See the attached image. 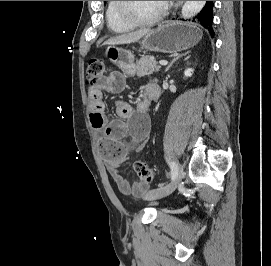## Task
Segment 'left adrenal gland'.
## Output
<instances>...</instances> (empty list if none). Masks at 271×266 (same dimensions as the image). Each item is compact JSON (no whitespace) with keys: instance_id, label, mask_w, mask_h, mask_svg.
<instances>
[{"instance_id":"1","label":"left adrenal gland","mask_w":271,"mask_h":266,"mask_svg":"<svg viewBox=\"0 0 271 266\" xmlns=\"http://www.w3.org/2000/svg\"><path fill=\"white\" fill-rule=\"evenodd\" d=\"M188 54V52H186V53H184V54H181V55H179V56H177L176 58H174L173 60H172V62L167 66V68L165 69V72H168L169 71V69L172 67V65L178 60V59H180L181 57H183V56H186Z\"/></svg>"}]
</instances>
